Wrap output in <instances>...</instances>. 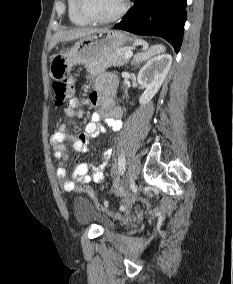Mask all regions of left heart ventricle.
Wrapping results in <instances>:
<instances>
[{
    "instance_id": "left-heart-ventricle-1",
    "label": "left heart ventricle",
    "mask_w": 233,
    "mask_h": 284,
    "mask_svg": "<svg viewBox=\"0 0 233 284\" xmlns=\"http://www.w3.org/2000/svg\"><path fill=\"white\" fill-rule=\"evenodd\" d=\"M124 0H88V8L97 17H110L122 6Z\"/></svg>"
}]
</instances>
